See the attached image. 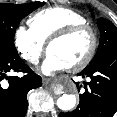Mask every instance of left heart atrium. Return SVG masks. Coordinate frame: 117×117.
Masks as SVG:
<instances>
[{"mask_svg": "<svg viewBox=\"0 0 117 117\" xmlns=\"http://www.w3.org/2000/svg\"><path fill=\"white\" fill-rule=\"evenodd\" d=\"M67 68L69 67L63 60L53 54L48 53L45 61L43 62L41 70L46 75H52Z\"/></svg>", "mask_w": 117, "mask_h": 117, "instance_id": "obj_1", "label": "left heart atrium"}]
</instances>
